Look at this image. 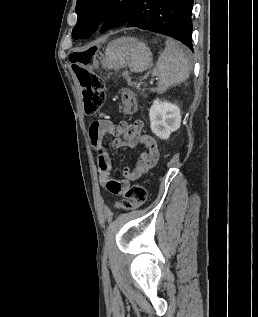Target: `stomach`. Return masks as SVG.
<instances>
[{"instance_id": "0dacf381", "label": "stomach", "mask_w": 258, "mask_h": 317, "mask_svg": "<svg viewBox=\"0 0 258 317\" xmlns=\"http://www.w3.org/2000/svg\"><path fill=\"white\" fill-rule=\"evenodd\" d=\"M152 60V52L145 42L132 36H122L107 44L101 64L105 68L129 66L132 72H143L152 66Z\"/></svg>"}]
</instances>
